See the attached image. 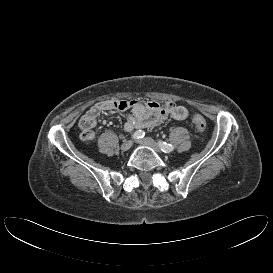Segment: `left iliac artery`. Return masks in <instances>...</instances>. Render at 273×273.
I'll return each instance as SVG.
<instances>
[{"instance_id": "left-iliac-artery-1", "label": "left iliac artery", "mask_w": 273, "mask_h": 273, "mask_svg": "<svg viewBox=\"0 0 273 273\" xmlns=\"http://www.w3.org/2000/svg\"><path fill=\"white\" fill-rule=\"evenodd\" d=\"M158 145L160 147V149L164 152V153H169L171 151H173L174 149V146L169 144V143H166L164 141H158Z\"/></svg>"}]
</instances>
